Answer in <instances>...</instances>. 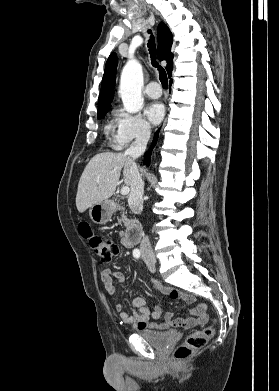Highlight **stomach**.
Masks as SVG:
<instances>
[{
	"instance_id": "obj_1",
	"label": "stomach",
	"mask_w": 279,
	"mask_h": 391,
	"mask_svg": "<svg viewBox=\"0 0 279 391\" xmlns=\"http://www.w3.org/2000/svg\"><path fill=\"white\" fill-rule=\"evenodd\" d=\"M113 214V208L109 202H101L91 206L89 215L96 224L107 223Z\"/></svg>"
}]
</instances>
